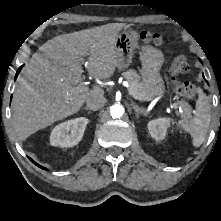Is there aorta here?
<instances>
[{
  "label": "aorta",
  "mask_w": 221,
  "mask_h": 221,
  "mask_svg": "<svg viewBox=\"0 0 221 221\" xmlns=\"http://www.w3.org/2000/svg\"><path fill=\"white\" fill-rule=\"evenodd\" d=\"M112 118H120L124 114V107L121 104H114L110 107Z\"/></svg>",
  "instance_id": "1"
}]
</instances>
